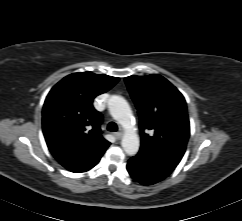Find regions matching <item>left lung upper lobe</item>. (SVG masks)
<instances>
[{
    "label": "left lung upper lobe",
    "mask_w": 242,
    "mask_h": 221,
    "mask_svg": "<svg viewBox=\"0 0 242 221\" xmlns=\"http://www.w3.org/2000/svg\"><path fill=\"white\" fill-rule=\"evenodd\" d=\"M125 82L138 109L141 149L178 164L190 136L183 95L158 74L129 76Z\"/></svg>",
    "instance_id": "obj_1"
}]
</instances>
